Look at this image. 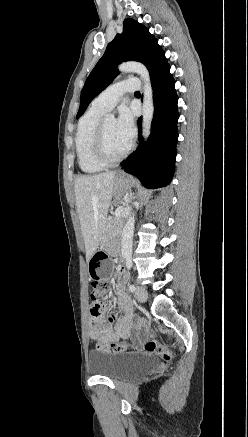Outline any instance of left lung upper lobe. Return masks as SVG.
I'll list each match as a JSON object with an SVG mask.
<instances>
[{"label": "left lung upper lobe", "mask_w": 248, "mask_h": 437, "mask_svg": "<svg viewBox=\"0 0 248 437\" xmlns=\"http://www.w3.org/2000/svg\"><path fill=\"white\" fill-rule=\"evenodd\" d=\"M135 60L143 63L152 78L168 63L164 51L149 30L133 19H125L122 34H117L94 69L81 92L77 119L85 112L91 100L103 91L118 75V64Z\"/></svg>", "instance_id": "obj_1"}]
</instances>
